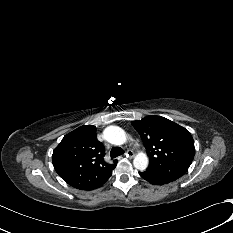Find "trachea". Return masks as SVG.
<instances>
[{"mask_svg": "<svg viewBox=\"0 0 233 233\" xmlns=\"http://www.w3.org/2000/svg\"><path fill=\"white\" fill-rule=\"evenodd\" d=\"M124 154V151L121 147H113L110 151L111 158H115L117 156H120Z\"/></svg>", "mask_w": 233, "mask_h": 233, "instance_id": "obj_1", "label": "trachea"}]
</instances>
